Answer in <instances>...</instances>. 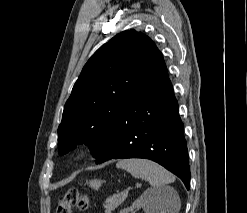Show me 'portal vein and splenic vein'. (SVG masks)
<instances>
[{
	"mask_svg": "<svg viewBox=\"0 0 247 213\" xmlns=\"http://www.w3.org/2000/svg\"><path fill=\"white\" fill-rule=\"evenodd\" d=\"M129 192V189H125L121 192V195L127 196Z\"/></svg>",
	"mask_w": 247,
	"mask_h": 213,
	"instance_id": "portal-vein-and-splenic-vein-1",
	"label": "portal vein and splenic vein"
}]
</instances>
